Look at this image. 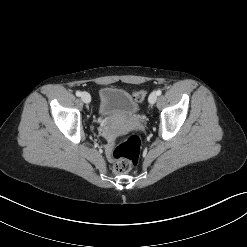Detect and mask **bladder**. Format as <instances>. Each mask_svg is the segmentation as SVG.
<instances>
[{
  "label": "bladder",
  "mask_w": 247,
  "mask_h": 247,
  "mask_svg": "<svg viewBox=\"0 0 247 247\" xmlns=\"http://www.w3.org/2000/svg\"><path fill=\"white\" fill-rule=\"evenodd\" d=\"M137 111L138 102L127 90L113 86L100 89L98 106L100 116H133Z\"/></svg>",
  "instance_id": "1"
}]
</instances>
